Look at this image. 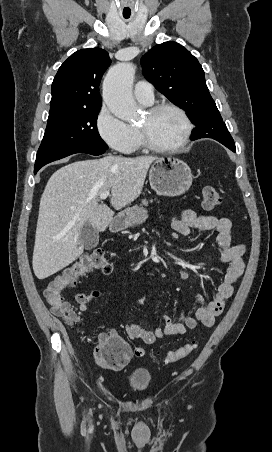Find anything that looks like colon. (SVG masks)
Listing matches in <instances>:
<instances>
[{
	"instance_id": "5ec220e1",
	"label": "colon",
	"mask_w": 272,
	"mask_h": 452,
	"mask_svg": "<svg viewBox=\"0 0 272 452\" xmlns=\"http://www.w3.org/2000/svg\"><path fill=\"white\" fill-rule=\"evenodd\" d=\"M221 202V194L215 187L206 186L202 190V206L206 210L214 209L219 206ZM94 270H99L106 275L110 274L113 270V264L110 258L100 252L84 254L78 260L68 265L49 283L44 291V297L54 315L65 316L71 313L72 309L63 299L62 292L79 278ZM196 347L197 343L192 341L167 353L163 361L166 364L180 361L188 357ZM145 352V349L141 346L133 349V353L136 356H143ZM93 357L96 364L100 367L104 369L119 370L126 365L130 355L126 343L122 338L101 335L98 339V345L94 351Z\"/></svg>"
}]
</instances>
